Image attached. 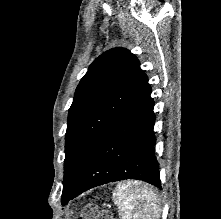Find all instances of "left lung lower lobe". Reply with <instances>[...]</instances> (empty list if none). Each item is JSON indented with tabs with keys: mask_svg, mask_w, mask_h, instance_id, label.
I'll use <instances>...</instances> for the list:
<instances>
[{
	"mask_svg": "<svg viewBox=\"0 0 221 219\" xmlns=\"http://www.w3.org/2000/svg\"><path fill=\"white\" fill-rule=\"evenodd\" d=\"M150 94L151 87L147 85L111 124L65 203L93 187L124 179L143 180L161 188L154 153V102Z\"/></svg>",
	"mask_w": 221,
	"mask_h": 219,
	"instance_id": "obj_1",
	"label": "left lung lower lobe"
}]
</instances>
